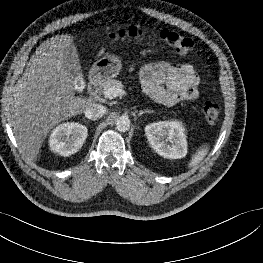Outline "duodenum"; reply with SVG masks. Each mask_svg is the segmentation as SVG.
<instances>
[{"instance_id":"duodenum-1","label":"duodenum","mask_w":263,"mask_h":263,"mask_svg":"<svg viewBox=\"0 0 263 263\" xmlns=\"http://www.w3.org/2000/svg\"><path fill=\"white\" fill-rule=\"evenodd\" d=\"M100 88H101L100 82L97 80H93L88 85V93L91 96H95L98 94Z\"/></svg>"}]
</instances>
